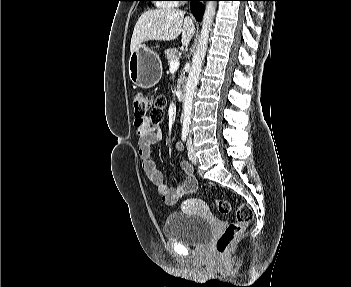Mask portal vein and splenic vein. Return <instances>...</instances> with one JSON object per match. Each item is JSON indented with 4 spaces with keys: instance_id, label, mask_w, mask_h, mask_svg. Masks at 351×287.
Listing matches in <instances>:
<instances>
[{
    "instance_id": "portal-vein-and-splenic-vein-1",
    "label": "portal vein and splenic vein",
    "mask_w": 351,
    "mask_h": 287,
    "mask_svg": "<svg viewBox=\"0 0 351 287\" xmlns=\"http://www.w3.org/2000/svg\"><path fill=\"white\" fill-rule=\"evenodd\" d=\"M180 63L178 59H174L170 62V68L171 69H177L179 67Z\"/></svg>"
}]
</instances>
